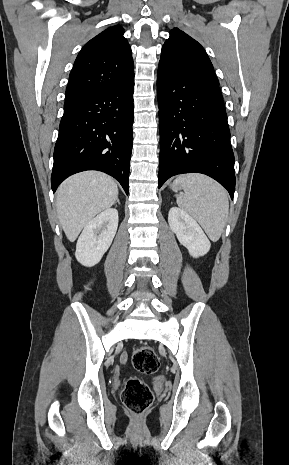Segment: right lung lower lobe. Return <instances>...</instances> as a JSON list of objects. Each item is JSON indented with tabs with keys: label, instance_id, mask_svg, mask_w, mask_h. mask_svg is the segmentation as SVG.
<instances>
[{
	"label": "right lung lower lobe",
	"instance_id": "98d812e1",
	"mask_svg": "<svg viewBox=\"0 0 289 465\" xmlns=\"http://www.w3.org/2000/svg\"><path fill=\"white\" fill-rule=\"evenodd\" d=\"M133 92L134 75L120 86L65 105L54 149L53 192L72 174L98 170L117 179L128 194Z\"/></svg>",
	"mask_w": 289,
	"mask_h": 465
}]
</instances>
